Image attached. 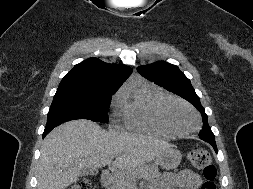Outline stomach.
Listing matches in <instances>:
<instances>
[{"instance_id": "obj_1", "label": "stomach", "mask_w": 253, "mask_h": 189, "mask_svg": "<svg viewBox=\"0 0 253 189\" xmlns=\"http://www.w3.org/2000/svg\"><path fill=\"white\" fill-rule=\"evenodd\" d=\"M182 159L181 152L176 148H168L156 158V163L166 170L176 168Z\"/></svg>"}]
</instances>
